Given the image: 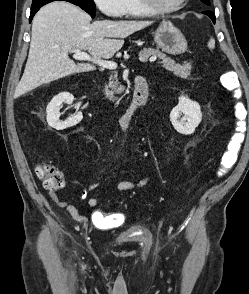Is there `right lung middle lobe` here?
<instances>
[{
  "instance_id": "dd1d6c3e",
  "label": "right lung middle lobe",
  "mask_w": 249,
  "mask_h": 294,
  "mask_svg": "<svg viewBox=\"0 0 249 294\" xmlns=\"http://www.w3.org/2000/svg\"><path fill=\"white\" fill-rule=\"evenodd\" d=\"M56 1V0H33L31 7L36 6H43L49 2ZM68 1L70 3H73L79 7H81L83 10H85L92 18L95 17L96 14V7L93 0H64Z\"/></svg>"
}]
</instances>
